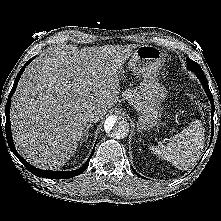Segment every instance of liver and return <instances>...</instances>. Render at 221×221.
Returning <instances> with one entry per match:
<instances>
[{"mask_svg": "<svg viewBox=\"0 0 221 221\" xmlns=\"http://www.w3.org/2000/svg\"><path fill=\"white\" fill-rule=\"evenodd\" d=\"M135 48L61 45L41 53L24 71L12 98L18 152L42 169L63 166L83 138L88 114L106 113L118 102L122 67Z\"/></svg>", "mask_w": 221, "mask_h": 221, "instance_id": "liver-1", "label": "liver"}]
</instances>
